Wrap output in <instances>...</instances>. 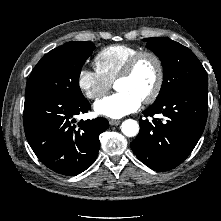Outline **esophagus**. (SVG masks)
<instances>
[{"instance_id": "obj_1", "label": "esophagus", "mask_w": 221, "mask_h": 221, "mask_svg": "<svg viewBox=\"0 0 221 221\" xmlns=\"http://www.w3.org/2000/svg\"><path fill=\"white\" fill-rule=\"evenodd\" d=\"M120 123H121L120 120H113V119L109 120V124H110L111 126H117V125H119Z\"/></svg>"}]
</instances>
